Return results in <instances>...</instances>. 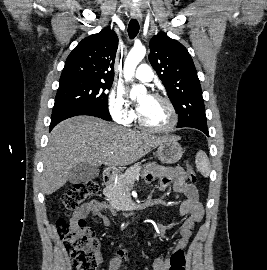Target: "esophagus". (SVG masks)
I'll return each mask as SVG.
<instances>
[{
    "label": "esophagus",
    "instance_id": "1",
    "mask_svg": "<svg viewBox=\"0 0 267 270\" xmlns=\"http://www.w3.org/2000/svg\"><path fill=\"white\" fill-rule=\"evenodd\" d=\"M131 16L132 18L138 20V21H141L142 19V14L140 12V10L138 8H133L132 11H131Z\"/></svg>",
    "mask_w": 267,
    "mask_h": 270
}]
</instances>
